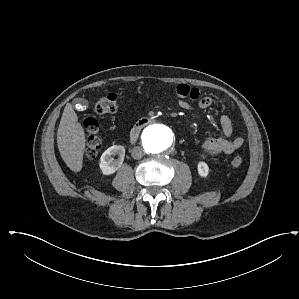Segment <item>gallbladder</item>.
<instances>
[{"instance_id": "obj_1", "label": "gallbladder", "mask_w": 299, "mask_h": 299, "mask_svg": "<svg viewBox=\"0 0 299 299\" xmlns=\"http://www.w3.org/2000/svg\"><path fill=\"white\" fill-rule=\"evenodd\" d=\"M76 102L77 103H80V104H82V105H87V100H84V99H78V100H76Z\"/></svg>"}]
</instances>
